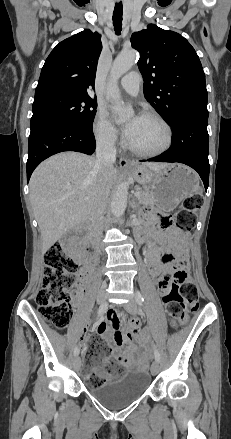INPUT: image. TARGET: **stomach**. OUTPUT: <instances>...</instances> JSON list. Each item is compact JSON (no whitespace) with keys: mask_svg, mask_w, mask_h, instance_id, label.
<instances>
[{"mask_svg":"<svg viewBox=\"0 0 231 439\" xmlns=\"http://www.w3.org/2000/svg\"><path fill=\"white\" fill-rule=\"evenodd\" d=\"M128 172L148 189L155 199L154 205L164 212L174 210L180 202L200 190L199 176L185 165L169 164L157 171L135 165Z\"/></svg>","mask_w":231,"mask_h":439,"instance_id":"0dacf381","label":"stomach"}]
</instances>
